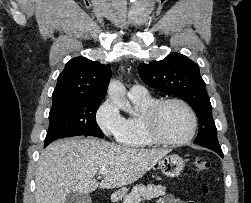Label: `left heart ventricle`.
<instances>
[{
	"instance_id": "1",
	"label": "left heart ventricle",
	"mask_w": 251,
	"mask_h": 203,
	"mask_svg": "<svg viewBox=\"0 0 251 203\" xmlns=\"http://www.w3.org/2000/svg\"><path fill=\"white\" fill-rule=\"evenodd\" d=\"M158 129L165 138L178 140L189 133L191 118L183 106L177 103L167 104L160 112Z\"/></svg>"
}]
</instances>
